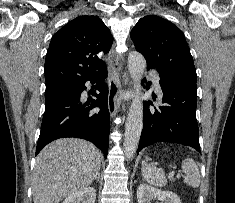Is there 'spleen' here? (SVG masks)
Here are the masks:
<instances>
[{
  "instance_id": "1",
  "label": "spleen",
  "mask_w": 235,
  "mask_h": 203,
  "mask_svg": "<svg viewBox=\"0 0 235 203\" xmlns=\"http://www.w3.org/2000/svg\"><path fill=\"white\" fill-rule=\"evenodd\" d=\"M182 169L185 173L184 182L193 188L200 185V172L194 160L187 158L182 161ZM142 176L150 184L163 187L167 184L164 170L142 162Z\"/></svg>"
}]
</instances>
